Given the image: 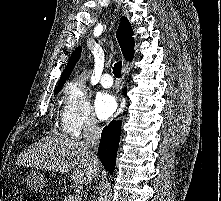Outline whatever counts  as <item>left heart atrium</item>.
Here are the masks:
<instances>
[{"instance_id":"39dd6f15","label":"left heart atrium","mask_w":221,"mask_h":201,"mask_svg":"<svg viewBox=\"0 0 221 201\" xmlns=\"http://www.w3.org/2000/svg\"><path fill=\"white\" fill-rule=\"evenodd\" d=\"M117 109V100L108 92H100L95 99V112L97 116L106 120L110 118Z\"/></svg>"}]
</instances>
